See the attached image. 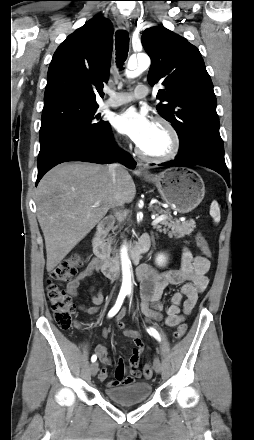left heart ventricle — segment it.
<instances>
[{"instance_id": "obj_1", "label": "left heart ventricle", "mask_w": 254, "mask_h": 440, "mask_svg": "<svg viewBox=\"0 0 254 440\" xmlns=\"http://www.w3.org/2000/svg\"><path fill=\"white\" fill-rule=\"evenodd\" d=\"M139 147L146 154L162 155L169 151L171 137L163 126L154 124L150 135Z\"/></svg>"}]
</instances>
